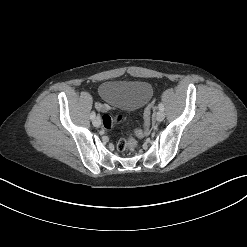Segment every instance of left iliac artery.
<instances>
[{
  "label": "left iliac artery",
  "instance_id": "obj_1",
  "mask_svg": "<svg viewBox=\"0 0 247 247\" xmlns=\"http://www.w3.org/2000/svg\"><path fill=\"white\" fill-rule=\"evenodd\" d=\"M158 108L159 110L164 111V106L161 102L158 104Z\"/></svg>",
  "mask_w": 247,
  "mask_h": 247
}]
</instances>
